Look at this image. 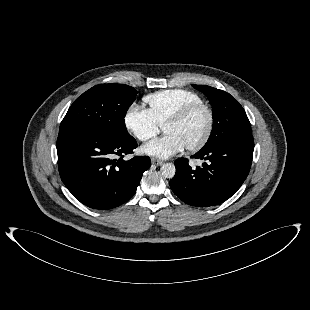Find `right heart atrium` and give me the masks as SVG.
Returning <instances> with one entry per match:
<instances>
[{"instance_id":"d8ad5b80","label":"right heart atrium","mask_w":310,"mask_h":310,"mask_svg":"<svg viewBox=\"0 0 310 310\" xmlns=\"http://www.w3.org/2000/svg\"><path fill=\"white\" fill-rule=\"evenodd\" d=\"M124 126L139 141L154 137L160 129L150 113L137 104H131L124 114Z\"/></svg>"}]
</instances>
